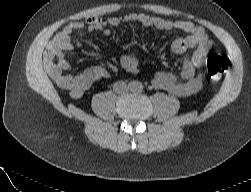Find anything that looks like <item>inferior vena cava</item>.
Listing matches in <instances>:
<instances>
[{"instance_id": "inferior-vena-cava-1", "label": "inferior vena cava", "mask_w": 251, "mask_h": 192, "mask_svg": "<svg viewBox=\"0 0 251 192\" xmlns=\"http://www.w3.org/2000/svg\"><path fill=\"white\" fill-rule=\"evenodd\" d=\"M120 87H122V89L125 88V85L123 83L117 82L114 84V90L119 92L120 91Z\"/></svg>"}]
</instances>
